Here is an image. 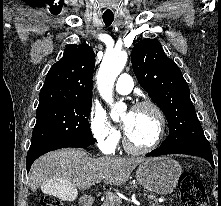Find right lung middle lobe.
<instances>
[{"instance_id": "1", "label": "right lung middle lobe", "mask_w": 221, "mask_h": 206, "mask_svg": "<svg viewBox=\"0 0 221 206\" xmlns=\"http://www.w3.org/2000/svg\"><path fill=\"white\" fill-rule=\"evenodd\" d=\"M92 103L37 108L30 150L64 142L94 144L89 126Z\"/></svg>"}]
</instances>
